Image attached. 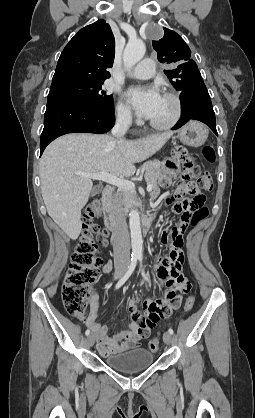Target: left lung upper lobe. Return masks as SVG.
I'll use <instances>...</instances> for the list:
<instances>
[{
	"label": "left lung upper lobe",
	"mask_w": 255,
	"mask_h": 418,
	"mask_svg": "<svg viewBox=\"0 0 255 418\" xmlns=\"http://www.w3.org/2000/svg\"><path fill=\"white\" fill-rule=\"evenodd\" d=\"M152 45L159 62L171 65L164 73L178 91L203 83L197 64L190 58L191 50L176 32L164 28L163 38L152 41Z\"/></svg>",
	"instance_id": "left-lung-upper-lobe-1"
}]
</instances>
